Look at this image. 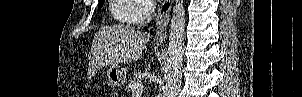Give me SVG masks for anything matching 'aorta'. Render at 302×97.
I'll return each instance as SVG.
<instances>
[{
  "instance_id": "aorta-1",
  "label": "aorta",
  "mask_w": 302,
  "mask_h": 97,
  "mask_svg": "<svg viewBox=\"0 0 302 97\" xmlns=\"http://www.w3.org/2000/svg\"><path fill=\"white\" fill-rule=\"evenodd\" d=\"M185 9L183 0H176L170 24L165 97H176L183 68Z\"/></svg>"
}]
</instances>
